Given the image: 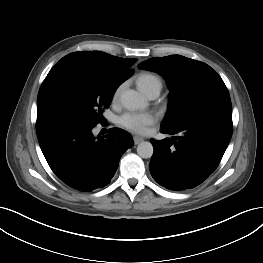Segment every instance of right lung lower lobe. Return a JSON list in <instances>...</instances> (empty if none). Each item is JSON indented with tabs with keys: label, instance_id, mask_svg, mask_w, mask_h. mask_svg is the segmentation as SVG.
Here are the masks:
<instances>
[{
	"label": "right lung lower lobe",
	"instance_id": "1",
	"mask_svg": "<svg viewBox=\"0 0 263 263\" xmlns=\"http://www.w3.org/2000/svg\"><path fill=\"white\" fill-rule=\"evenodd\" d=\"M93 127L53 124L37 129L41 150L52 171L65 184L84 192L109 184L122 154L134 145L128 132L111 128L104 137L96 138Z\"/></svg>",
	"mask_w": 263,
	"mask_h": 263
}]
</instances>
